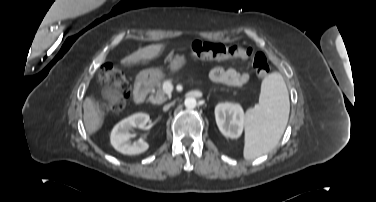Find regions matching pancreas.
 Listing matches in <instances>:
<instances>
[{
    "label": "pancreas",
    "mask_w": 376,
    "mask_h": 202,
    "mask_svg": "<svg viewBox=\"0 0 376 202\" xmlns=\"http://www.w3.org/2000/svg\"><path fill=\"white\" fill-rule=\"evenodd\" d=\"M171 82V80H168ZM166 80L163 77L153 80L149 83L152 95H150L149 100L154 104H161L167 100L166 93L164 92L163 85Z\"/></svg>",
    "instance_id": "1"
}]
</instances>
